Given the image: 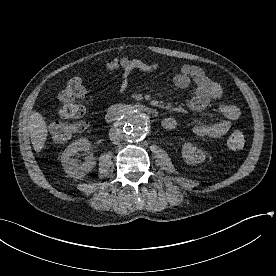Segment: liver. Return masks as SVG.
<instances>
[{
	"mask_svg": "<svg viewBox=\"0 0 276 276\" xmlns=\"http://www.w3.org/2000/svg\"><path fill=\"white\" fill-rule=\"evenodd\" d=\"M28 130L30 132L31 142L34 150L40 152L47 139V124L43 116L38 112H33L28 121Z\"/></svg>",
	"mask_w": 276,
	"mask_h": 276,
	"instance_id": "liver-1",
	"label": "liver"
}]
</instances>
